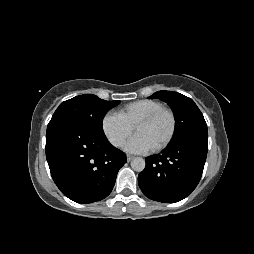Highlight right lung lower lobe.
I'll list each match as a JSON object with an SVG mask.
<instances>
[{
	"label": "right lung lower lobe",
	"instance_id": "right-lung-lower-lobe-1",
	"mask_svg": "<svg viewBox=\"0 0 254 254\" xmlns=\"http://www.w3.org/2000/svg\"><path fill=\"white\" fill-rule=\"evenodd\" d=\"M46 158L60 191L81 204L107 197L127 161L104 133L68 120L49 122Z\"/></svg>",
	"mask_w": 254,
	"mask_h": 254
}]
</instances>
